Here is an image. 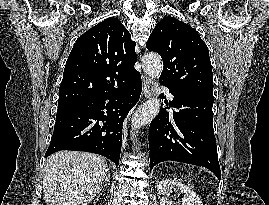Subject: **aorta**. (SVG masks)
Masks as SVG:
<instances>
[{
  "instance_id": "aorta-1",
  "label": "aorta",
  "mask_w": 269,
  "mask_h": 205,
  "mask_svg": "<svg viewBox=\"0 0 269 205\" xmlns=\"http://www.w3.org/2000/svg\"><path fill=\"white\" fill-rule=\"evenodd\" d=\"M144 72L153 79H158L163 70L161 58L156 53H147L142 58ZM161 101L159 98H152L145 102L132 117V139L136 138L135 131L148 124L159 113Z\"/></svg>"
}]
</instances>
